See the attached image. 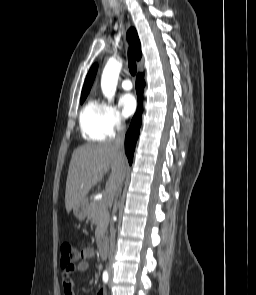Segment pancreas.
<instances>
[{"label":"pancreas","mask_w":256,"mask_h":295,"mask_svg":"<svg viewBox=\"0 0 256 295\" xmlns=\"http://www.w3.org/2000/svg\"><path fill=\"white\" fill-rule=\"evenodd\" d=\"M88 215L96 224L95 237L96 241L99 242L106 232L109 222L108 202L105 199L92 202L89 206Z\"/></svg>","instance_id":"obj_1"}]
</instances>
